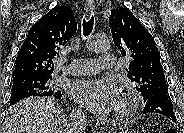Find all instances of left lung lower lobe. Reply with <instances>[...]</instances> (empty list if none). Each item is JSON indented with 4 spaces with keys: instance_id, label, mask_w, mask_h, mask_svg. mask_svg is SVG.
<instances>
[{
    "instance_id": "obj_1",
    "label": "left lung lower lobe",
    "mask_w": 184,
    "mask_h": 133,
    "mask_svg": "<svg viewBox=\"0 0 184 133\" xmlns=\"http://www.w3.org/2000/svg\"><path fill=\"white\" fill-rule=\"evenodd\" d=\"M160 101L151 97L145 103L143 113H159L176 122V117L173 113V105L168 94H158Z\"/></svg>"
}]
</instances>
